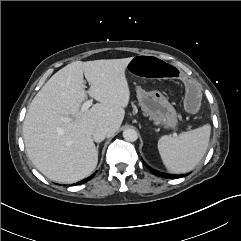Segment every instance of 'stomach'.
I'll return each mask as SVG.
<instances>
[{
  "mask_svg": "<svg viewBox=\"0 0 241 241\" xmlns=\"http://www.w3.org/2000/svg\"><path fill=\"white\" fill-rule=\"evenodd\" d=\"M139 105L146 116L156 125L166 129H175L178 125V115L175 108L159 91L146 92L141 87L137 88Z\"/></svg>",
  "mask_w": 241,
  "mask_h": 241,
  "instance_id": "obj_1",
  "label": "stomach"
}]
</instances>
